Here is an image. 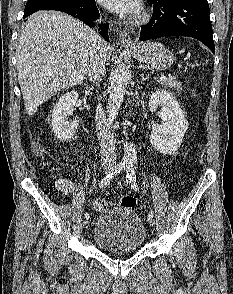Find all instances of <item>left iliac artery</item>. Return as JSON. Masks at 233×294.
I'll return each mask as SVG.
<instances>
[{"label": "left iliac artery", "mask_w": 233, "mask_h": 294, "mask_svg": "<svg viewBox=\"0 0 233 294\" xmlns=\"http://www.w3.org/2000/svg\"><path fill=\"white\" fill-rule=\"evenodd\" d=\"M126 168H127L126 178H128V182H130L131 187L134 190H138V185L136 183V165H135V163H133V162L128 163ZM148 216L153 217L154 216L153 212L150 211L148 213Z\"/></svg>", "instance_id": "44dca946"}]
</instances>
